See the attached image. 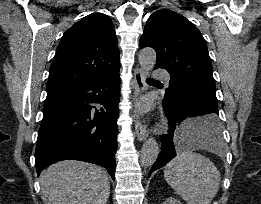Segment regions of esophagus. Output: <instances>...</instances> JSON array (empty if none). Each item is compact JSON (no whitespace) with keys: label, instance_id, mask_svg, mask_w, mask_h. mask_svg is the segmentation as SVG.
Here are the masks:
<instances>
[{"label":"esophagus","instance_id":"obj_1","mask_svg":"<svg viewBox=\"0 0 261 204\" xmlns=\"http://www.w3.org/2000/svg\"><path fill=\"white\" fill-rule=\"evenodd\" d=\"M146 74L143 69L137 67L134 70V82H135V91H134V97L135 99H139V97L144 93V91L147 90V84L145 81ZM135 131L136 135L138 137V140L142 141L146 139L148 136V130L146 125L142 123V120L140 117H136L135 120Z\"/></svg>","mask_w":261,"mask_h":204}]
</instances>
